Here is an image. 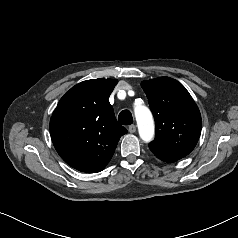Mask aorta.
Segmentation results:
<instances>
[{"label":"aorta","instance_id":"obj_1","mask_svg":"<svg viewBox=\"0 0 238 238\" xmlns=\"http://www.w3.org/2000/svg\"><path fill=\"white\" fill-rule=\"evenodd\" d=\"M141 139L149 142L154 137V121L150 110L143 105H138L134 109Z\"/></svg>","mask_w":238,"mask_h":238}]
</instances>
